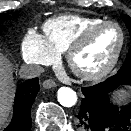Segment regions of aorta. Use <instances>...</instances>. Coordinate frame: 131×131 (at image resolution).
I'll return each instance as SVG.
<instances>
[{"instance_id": "obj_1", "label": "aorta", "mask_w": 131, "mask_h": 131, "mask_svg": "<svg viewBox=\"0 0 131 131\" xmlns=\"http://www.w3.org/2000/svg\"><path fill=\"white\" fill-rule=\"evenodd\" d=\"M58 102L64 107H72L77 102V95L74 90L69 87H61L57 92Z\"/></svg>"}]
</instances>
